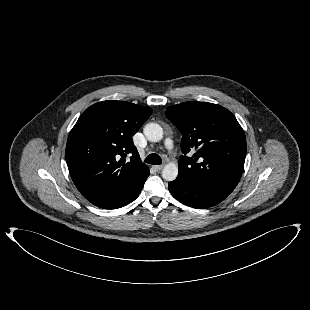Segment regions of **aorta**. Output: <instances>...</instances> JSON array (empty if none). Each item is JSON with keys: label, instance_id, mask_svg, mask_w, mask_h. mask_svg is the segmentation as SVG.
<instances>
[{"label": "aorta", "instance_id": "762f6f07", "mask_svg": "<svg viewBox=\"0 0 310 310\" xmlns=\"http://www.w3.org/2000/svg\"><path fill=\"white\" fill-rule=\"evenodd\" d=\"M145 137L151 142H158L163 138V129L157 123H148L143 129ZM178 166L175 163H168L162 170V177L166 181H173L177 178Z\"/></svg>", "mask_w": 310, "mask_h": 310}]
</instances>
